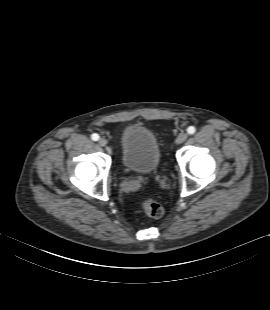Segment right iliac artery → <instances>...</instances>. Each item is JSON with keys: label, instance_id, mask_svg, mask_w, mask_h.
<instances>
[{"label": "right iliac artery", "instance_id": "obj_1", "mask_svg": "<svg viewBox=\"0 0 270 310\" xmlns=\"http://www.w3.org/2000/svg\"><path fill=\"white\" fill-rule=\"evenodd\" d=\"M92 140L97 141L99 139V135L94 133L91 135Z\"/></svg>", "mask_w": 270, "mask_h": 310}]
</instances>
